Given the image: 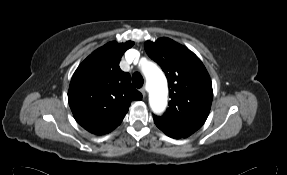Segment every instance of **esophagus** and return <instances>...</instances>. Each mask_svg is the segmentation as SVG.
Returning a JSON list of instances; mask_svg holds the SVG:
<instances>
[{
	"label": "esophagus",
	"instance_id": "34e87169",
	"mask_svg": "<svg viewBox=\"0 0 287 175\" xmlns=\"http://www.w3.org/2000/svg\"><path fill=\"white\" fill-rule=\"evenodd\" d=\"M141 93H142V96H143V99H145L147 93H146V90L144 88L140 89Z\"/></svg>",
	"mask_w": 287,
	"mask_h": 175
}]
</instances>
